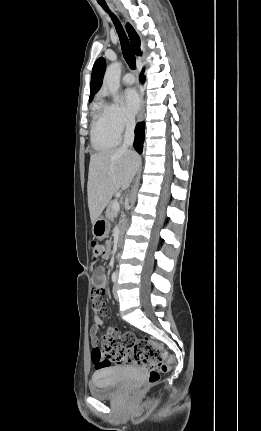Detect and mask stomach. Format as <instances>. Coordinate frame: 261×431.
Returning a JSON list of instances; mask_svg holds the SVG:
<instances>
[{
    "label": "stomach",
    "mask_w": 261,
    "mask_h": 431,
    "mask_svg": "<svg viewBox=\"0 0 261 431\" xmlns=\"http://www.w3.org/2000/svg\"><path fill=\"white\" fill-rule=\"evenodd\" d=\"M110 231V222L107 217L100 215L92 225V233L98 239H104Z\"/></svg>",
    "instance_id": "obj_1"
}]
</instances>
